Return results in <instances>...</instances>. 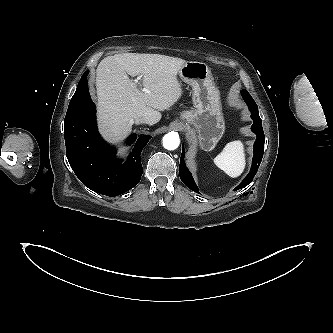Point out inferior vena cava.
Masks as SVG:
<instances>
[{
  "mask_svg": "<svg viewBox=\"0 0 333 333\" xmlns=\"http://www.w3.org/2000/svg\"><path fill=\"white\" fill-rule=\"evenodd\" d=\"M134 122L136 124H142V123H145V124H149V120L146 118V117H137Z\"/></svg>",
  "mask_w": 333,
  "mask_h": 333,
  "instance_id": "1",
  "label": "inferior vena cava"
}]
</instances>
